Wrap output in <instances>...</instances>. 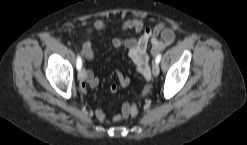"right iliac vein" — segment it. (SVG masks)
I'll list each match as a JSON object with an SVG mask.
<instances>
[{"mask_svg": "<svg viewBox=\"0 0 247 145\" xmlns=\"http://www.w3.org/2000/svg\"><path fill=\"white\" fill-rule=\"evenodd\" d=\"M86 78V71L84 68H82L79 72H78V79L80 81H84Z\"/></svg>", "mask_w": 247, "mask_h": 145, "instance_id": "63e3f726", "label": "right iliac vein"}]
</instances>
